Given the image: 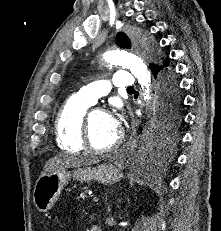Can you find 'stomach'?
Instances as JSON below:
<instances>
[{
  "mask_svg": "<svg viewBox=\"0 0 221 231\" xmlns=\"http://www.w3.org/2000/svg\"><path fill=\"white\" fill-rule=\"evenodd\" d=\"M72 177L81 182L98 181L105 185H111L119 182L123 174L110 162L102 163L96 167L80 166L73 171L58 169L51 173H45L38 178L33 191V202L37 210L40 212L50 210Z\"/></svg>",
  "mask_w": 221,
  "mask_h": 231,
  "instance_id": "stomach-1",
  "label": "stomach"
}]
</instances>
